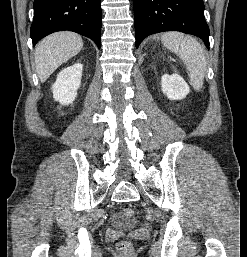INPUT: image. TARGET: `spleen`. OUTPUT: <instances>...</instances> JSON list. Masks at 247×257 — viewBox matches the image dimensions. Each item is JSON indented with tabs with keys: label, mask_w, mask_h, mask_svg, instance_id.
Here are the masks:
<instances>
[{
	"label": "spleen",
	"mask_w": 247,
	"mask_h": 257,
	"mask_svg": "<svg viewBox=\"0 0 247 257\" xmlns=\"http://www.w3.org/2000/svg\"><path fill=\"white\" fill-rule=\"evenodd\" d=\"M163 45L176 53L186 65L192 86L200 90L203 86L207 61L201 44L191 36L179 32H167L161 35Z\"/></svg>",
	"instance_id": "3e777b00"
}]
</instances>
